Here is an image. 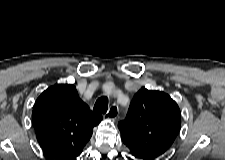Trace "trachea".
I'll return each instance as SVG.
<instances>
[{"mask_svg": "<svg viewBox=\"0 0 225 160\" xmlns=\"http://www.w3.org/2000/svg\"><path fill=\"white\" fill-rule=\"evenodd\" d=\"M108 109V99L107 97H100L95 102L93 110L98 113H106Z\"/></svg>", "mask_w": 225, "mask_h": 160, "instance_id": "trachea-1", "label": "trachea"}]
</instances>
